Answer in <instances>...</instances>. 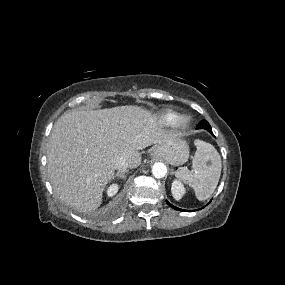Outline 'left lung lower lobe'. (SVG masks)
Returning <instances> with one entry per match:
<instances>
[{
    "instance_id": "0a47b994",
    "label": "left lung lower lobe",
    "mask_w": 285,
    "mask_h": 285,
    "mask_svg": "<svg viewBox=\"0 0 285 285\" xmlns=\"http://www.w3.org/2000/svg\"><path fill=\"white\" fill-rule=\"evenodd\" d=\"M197 128H198V129L204 128V129L208 130L211 134H213V133H212L211 126H210V124H209L206 120H202L201 122H199ZM166 202H167V204H168L169 206H171L172 208H174V209H176V210L185 211V210H182V209H179V208L173 206V205L170 204L168 201H166ZM186 211H187V210H186Z\"/></svg>"
}]
</instances>
